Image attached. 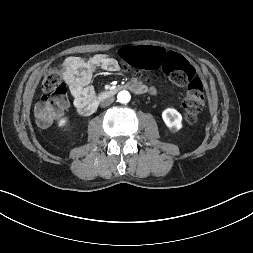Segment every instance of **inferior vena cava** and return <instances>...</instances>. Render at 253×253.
Segmentation results:
<instances>
[{
    "mask_svg": "<svg viewBox=\"0 0 253 253\" xmlns=\"http://www.w3.org/2000/svg\"><path fill=\"white\" fill-rule=\"evenodd\" d=\"M114 101L113 98H109V99H106L104 101L101 102V107H107L109 106L110 104H112Z\"/></svg>",
    "mask_w": 253,
    "mask_h": 253,
    "instance_id": "obj_1",
    "label": "inferior vena cava"
}]
</instances>
